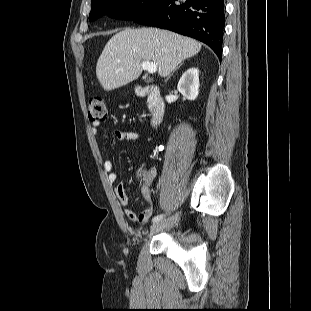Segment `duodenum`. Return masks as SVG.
<instances>
[{
	"mask_svg": "<svg viewBox=\"0 0 311 311\" xmlns=\"http://www.w3.org/2000/svg\"><path fill=\"white\" fill-rule=\"evenodd\" d=\"M135 93L137 96L147 97L149 111L151 114V124H158L165 113V104L161 95V90L156 85H136Z\"/></svg>",
	"mask_w": 311,
	"mask_h": 311,
	"instance_id": "410a0bca",
	"label": "duodenum"
}]
</instances>
